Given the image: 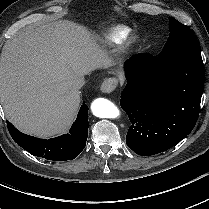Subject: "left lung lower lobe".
I'll use <instances>...</instances> for the list:
<instances>
[{
  "instance_id": "obj_1",
  "label": "left lung lower lobe",
  "mask_w": 209,
  "mask_h": 209,
  "mask_svg": "<svg viewBox=\"0 0 209 209\" xmlns=\"http://www.w3.org/2000/svg\"><path fill=\"white\" fill-rule=\"evenodd\" d=\"M124 68L127 85L120 105L131 121L127 146L142 156L170 149L198 118L204 88L200 48L170 57L136 54Z\"/></svg>"
}]
</instances>
